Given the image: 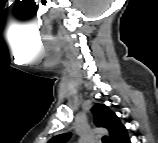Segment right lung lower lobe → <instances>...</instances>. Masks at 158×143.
Returning a JSON list of instances; mask_svg holds the SVG:
<instances>
[{
  "label": "right lung lower lobe",
  "mask_w": 158,
  "mask_h": 143,
  "mask_svg": "<svg viewBox=\"0 0 158 143\" xmlns=\"http://www.w3.org/2000/svg\"><path fill=\"white\" fill-rule=\"evenodd\" d=\"M122 143H130V139L128 138V139H126L124 142H122Z\"/></svg>",
  "instance_id": "98d812e1"
}]
</instances>
